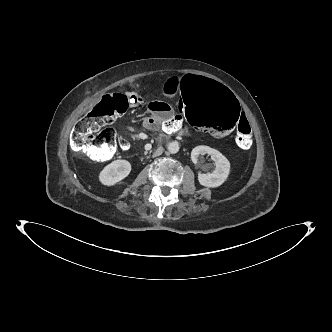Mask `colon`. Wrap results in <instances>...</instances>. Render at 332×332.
I'll return each instance as SVG.
<instances>
[{"label": "colon", "instance_id": "obj_1", "mask_svg": "<svg viewBox=\"0 0 332 332\" xmlns=\"http://www.w3.org/2000/svg\"><path fill=\"white\" fill-rule=\"evenodd\" d=\"M176 106L180 115L202 132L222 137L236 127L235 142L246 151L252 144V131L246 119H240V105L236 96L202 72L183 76L175 89ZM135 94H107L74 126L70 147L74 154L84 155L97 162H104L129 144L120 134L105 128L123 114ZM239 120V122H238ZM171 126V120L164 122ZM238 123V124H237Z\"/></svg>", "mask_w": 332, "mask_h": 332}]
</instances>
